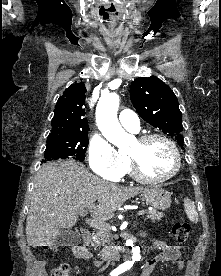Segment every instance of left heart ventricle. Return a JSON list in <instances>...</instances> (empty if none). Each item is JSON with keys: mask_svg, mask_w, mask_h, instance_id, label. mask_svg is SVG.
<instances>
[{"mask_svg": "<svg viewBox=\"0 0 221 276\" xmlns=\"http://www.w3.org/2000/svg\"><path fill=\"white\" fill-rule=\"evenodd\" d=\"M129 155L136 158L144 173L151 177L166 176L175 166V158L170 146L159 139L145 144L135 142Z\"/></svg>", "mask_w": 221, "mask_h": 276, "instance_id": "b2bd125f", "label": "left heart ventricle"}]
</instances>
